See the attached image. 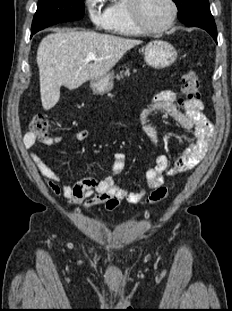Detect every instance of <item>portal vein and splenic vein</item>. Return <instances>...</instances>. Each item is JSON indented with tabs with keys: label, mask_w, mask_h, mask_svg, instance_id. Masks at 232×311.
Masks as SVG:
<instances>
[{
	"label": "portal vein and splenic vein",
	"mask_w": 232,
	"mask_h": 311,
	"mask_svg": "<svg viewBox=\"0 0 232 311\" xmlns=\"http://www.w3.org/2000/svg\"><path fill=\"white\" fill-rule=\"evenodd\" d=\"M93 60H98L96 54L95 53H88V55L85 58V61L89 62V61H93Z\"/></svg>",
	"instance_id": "portal-vein-and-splenic-vein-1"
}]
</instances>
